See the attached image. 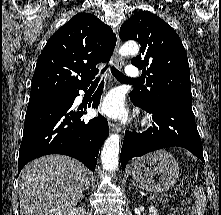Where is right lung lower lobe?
<instances>
[{"instance_id": "98d812e1", "label": "right lung lower lobe", "mask_w": 221, "mask_h": 215, "mask_svg": "<svg viewBox=\"0 0 221 215\" xmlns=\"http://www.w3.org/2000/svg\"><path fill=\"white\" fill-rule=\"evenodd\" d=\"M88 84L64 94L62 98L39 104L28 105L24 132L19 149L18 173L28 162L48 154H64L84 163L95 171L102 143L109 135L107 120L101 116L86 122L81 116L82 108L73 106L79 90ZM103 83L93 95L88 106L97 108Z\"/></svg>"}]
</instances>
